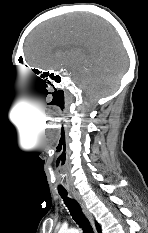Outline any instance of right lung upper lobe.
<instances>
[{
	"label": "right lung upper lobe",
	"mask_w": 148,
	"mask_h": 233,
	"mask_svg": "<svg viewBox=\"0 0 148 233\" xmlns=\"http://www.w3.org/2000/svg\"><path fill=\"white\" fill-rule=\"evenodd\" d=\"M96 227H97V230H98L99 233H100V226L98 225V223H96Z\"/></svg>",
	"instance_id": "obj_1"
}]
</instances>
